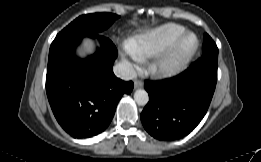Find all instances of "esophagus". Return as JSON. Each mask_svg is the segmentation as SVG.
I'll use <instances>...</instances> for the list:
<instances>
[{"label": "esophagus", "mask_w": 261, "mask_h": 162, "mask_svg": "<svg viewBox=\"0 0 261 162\" xmlns=\"http://www.w3.org/2000/svg\"><path fill=\"white\" fill-rule=\"evenodd\" d=\"M143 82L141 80H135L134 81V88L135 89H139V88H142L143 87Z\"/></svg>", "instance_id": "34e87169"}]
</instances>
